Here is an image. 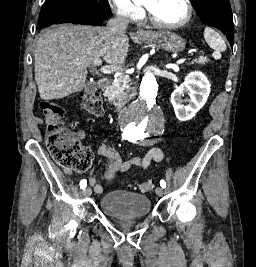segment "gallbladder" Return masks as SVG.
Masks as SVG:
<instances>
[{"label":"gallbladder","mask_w":256,"mask_h":267,"mask_svg":"<svg viewBox=\"0 0 256 267\" xmlns=\"http://www.w3.org/2000/svg\"><path fill=\"white\" fill-rule=\"evenodd\" d=\"M94 90H96L95 82H88V84L85 88L86 94H91V92H94Z\"/></svg>","instance_id":"gallbladder-1"}]
</instances>
